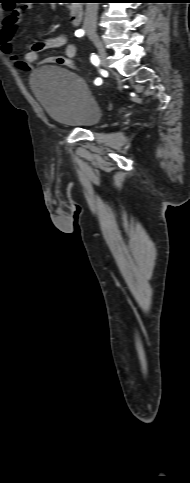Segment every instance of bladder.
Instances as JSON below:
<instances>
[{
    "instance_id": "1",
    "label": "bladder",
    "mask_w": 190,
    "mask_h": 483,
    "mask_svg": "<svg viewBox=\"0 0 190 483\" xmlns=\"http://www.w3.org/2000/svg\"><path fill=\"white\" fill-rule=\"evenodd\" d=\"M30 86L47 114L58 122L89 128L102 118L93 92L70 69L59 65L38 68L31 75Z\"/></svg>"
}]
</instances>
